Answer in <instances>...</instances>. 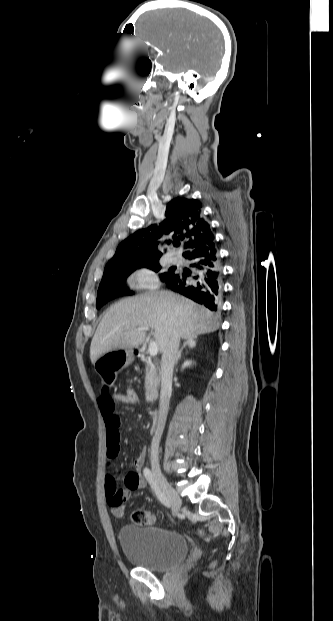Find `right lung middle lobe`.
Instances as JSON below:
<instances>
[{
    "mask_svg": "<svg viewBox=\"0 0 333 621\" xmlns=\"http://www.w3.org/2000/svg\"><path fill=\"white\" fill-rule=\"evenodd\" d=\"M141 267H146L158 272L161 269L159 258L106 266L97 292V308L114 298L133 294L132 291L127 289L125 279L135 269ZM174 270L175 269L171 267L168 272L160 274L161 280L163 282L166 281L174 273Z\"/></svg>",
    "mask_w": 333,
    "mask_h": 621,
    "instance_id": "right-lung-middle-lobe-1",
    "label": "right lung middle lobe"
}]
</instances>
